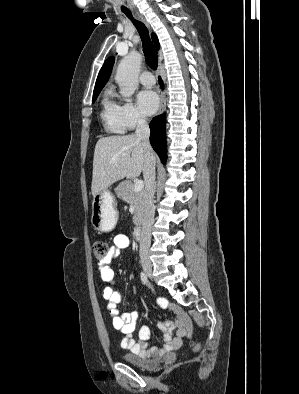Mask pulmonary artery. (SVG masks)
I'll return each mask as SVG.
<instances>
[{
	"label": "pulmonary artery",
	"instance_id": "e3ab8cb5",
	"mask_svg": "<svg viewBox=\"0 0 299 394\" xmlns=\"http://www.w3.org/2000/svg\"><path fill=\"white\" fill-rule=\"evenodd\" d=\"M139 80L145 87H152L155 84V78L149 71H144L141 73Z\"/></svg>",
	"mask_w": 299,
	"mask_h": 394
}]
</instances>
